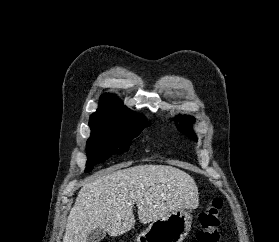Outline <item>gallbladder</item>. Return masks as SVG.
<instances>
[{
    "instance_id": "gallbladder-1",
    "label": "gallbladder",
    "mask_w": 279,
    "mask_h": 242,
    "mask_svg": "<svg viewBox=\"0 0 279 242\" xmlns=\"http://www.w3.org/2000/svg\"><path fill=\"white\" fill-rule=\"evenodd\" d=\"M106 236V232L100 228L92 230L88 236L86 242H100Z\"/></svg>"
}]
</instances>
